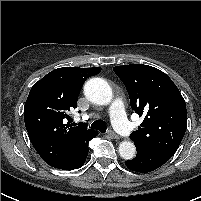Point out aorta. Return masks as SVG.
<instances>
[{"instance_id": "762f6f07", "label": "aorta", "mask_w": 201, "mask_h": 201, "mask_svg": "<svg viewBox=\"0 0 201 201\" xmlns=\"http://www.w3.org/2000/svg\"><path fill=\"white\" fill-rule=\"evenodd\" d=\"M84 94L86 98L98 105H107L113 97L110 85L101 78H91L84 86ZM119 154L125 160H131L136 155V148L131 141H122L119 144Z\"/></svg>"}]
</instances>
